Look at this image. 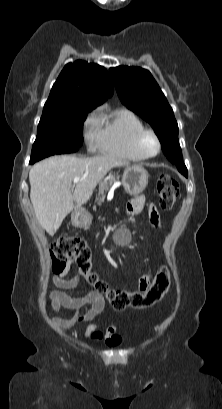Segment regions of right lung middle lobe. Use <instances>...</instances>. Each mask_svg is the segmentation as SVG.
Wrapping results in <instances>:
<instances>
[{
	"mask_svg": "<svg viewBox=\"0 0 222 409\" xmlns=\"http://www.w3.org/2000/svg\"><path fill=\"white\" fill-rule=\"evenodd\" d=\"M94 108L73 106L43 110L30 164L51 155L76 152L83 143V122Z\"/></svg>",
	"mask_w": 222,
	"mask_h": 409,
	"instance_id": "obj_1",
	"label": "right lung middle lobe"
}]
</instances>
